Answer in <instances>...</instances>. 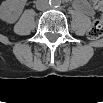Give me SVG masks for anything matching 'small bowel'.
I'll return each instance as SVG.
<instances>
[{
  "label": "small bowel",
  "instance_id": "small-bowel-1",
  "mask_svg": "<svg viewBox=\"0 0 103 103\" xmlns=\"http://www.w3.org/2000/svg\"><path fill=\"white\" fill-rule=\"evenodd\" d=\"M77 8L87 16H93L95 14L93 6L87 1H81L78 3Z\"/></svg>",
  "mask_w": 103,
  "mask_h": 103
}]
</instances>
